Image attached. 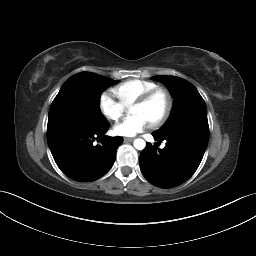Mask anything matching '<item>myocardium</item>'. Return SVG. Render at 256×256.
I'll use <instances>...</instances> for the list:
<instances>
[{
    "label": "myocardium",
    "instance_id": "myocardium-1",
    "mask_svg": "<svg viewBox=\"0 0 256 256\" xmlns=\"http://www.w3.org/2000/svg\"><path fill=\"white\" fill-rule=\"evenodd\" d=\"M157 95H163L165 97L166 107L159 118L150 122L151 126L153 127L161 126L169 118L173 109V97L171 93L163 87H156L144 93L134 102V105H146Z\"/></svg>",
    "mask_w": 256,
    "mask_h": 256
}]
</instances>
